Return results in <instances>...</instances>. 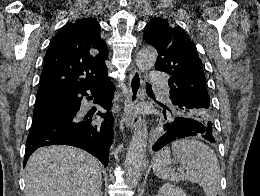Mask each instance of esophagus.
Segmentation results:
<instances>
[{"label":"esophagus","instance_id":"obj_1","mask_svg":"<svg viewBox=\"0 0 260 196\" xmlns=\"http://www.w3.org/2000/svg\"><path fill=\"white\" fill-rule=\"evenodd\" d=\"M129 99L125 104L126 126L135 128L141 121V117L137 112V103L139 101L140 92L142 90V79L140 72L135 69L132 71L128 82Z\"/></svg>","mask_w":260,"mask_h":196}]
</instances>
